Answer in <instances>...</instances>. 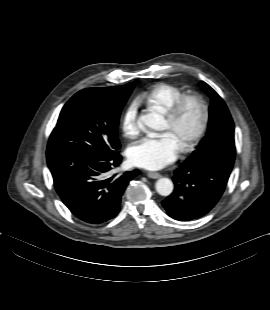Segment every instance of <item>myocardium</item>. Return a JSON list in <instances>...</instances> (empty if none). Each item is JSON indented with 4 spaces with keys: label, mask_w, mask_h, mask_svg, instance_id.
I'll use <instances>...</instances> for the list:
<instances>
[{
    "label": "myocardium",
    "mask_w": 270,
    "mask_h": 310,
    "mask_svg": "<svg viewBox=\"0 0 270 310\" xmlns=\"http://www.w3.org/2000/svg\"><path fill=\"white\" fill-rule=\"evenodd\" d=\"M190 103L196 104L199 108L200 123L196 132L181 145L182 150L185 152L192 150L206 132L209 121V110L205 100L199 94H184L179 99H177L172 107L165 113L168 123L170 125H174L177 123L183 111Z\"/></svg>",
    "instance_id": "obj_1"
}]
</instances>
